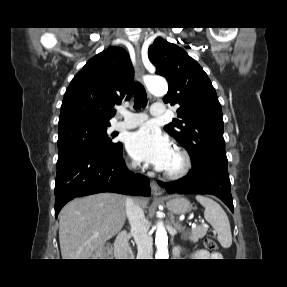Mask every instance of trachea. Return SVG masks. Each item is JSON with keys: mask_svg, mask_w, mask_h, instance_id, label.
Wrapping results in <instances>:
<instances>
[{"mask_svg": "<svg viewBox=\"0 0 287 287\" xmlns=\"http://www.w3.org/2000/svg\"><path fill=\"white\" fill-rule=\"evenodd\" d=\"M134 93V108L140 109L142 107H145L147 104V94L144 86L136 82L133 88Z\"/></svg>", "mask_w": 287, "mask_h": 287, "instance_id": "3493384b", "label": "trachea"}]
</instances>
